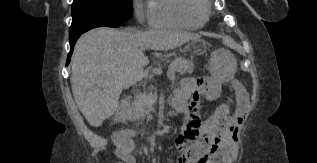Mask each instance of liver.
<instances>
[{"instance_id":"6515ba94","label":"liver","mask_w":317,"mask_h":163,"mask_svg":"<svg viewBox=\"0 0 317 163\" xmlns=\"http://www.w3.org/2000/svg\"><path fill=\"white\" fill-rule=\"evenodd\" d=\"M197 38L198 34L190 32L107 27L84 33L71 60L70 81L77 107L91 126H101L118 109L123 89L142 79L149 63L145 49L168 51Z\"/></svg>"}]
</instances>
